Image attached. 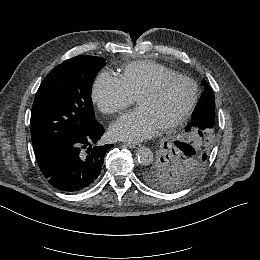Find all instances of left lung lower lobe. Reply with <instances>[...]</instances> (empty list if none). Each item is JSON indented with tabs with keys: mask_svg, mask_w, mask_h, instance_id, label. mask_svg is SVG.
I'll use <instances>...</instances> for the list:
<instances>
[{
	"mask_svg": "<svg viewBox=\"0 0 260 260\" xmlns=\"http://www.w3.org/2000/svg\"><path fill=\"white\" fill-rule=\"evenodd\" d=\"M216 125L215 123V102L211 99L201 98L193 115L191 128L210 129ZM182 149L189 151L191 147L182 142H176Z\"/></svg>",
	"mask_w": 260,
	"mask_h": 260,
	"instance_id": "left-lung-lower-lobe-1",
	"label": "left lung lower lobe"
}]
</instances>
